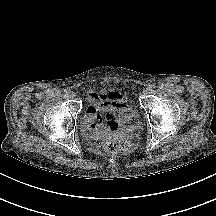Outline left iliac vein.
I'll list each match as a JSON object with an SVG mask.
<instances>
[{
	"label": "left iliac vein",
	"instance_id": "1",
	"mask_svg": "<svg viewBox=\"0 0 216 216\" xmlns=\"http://www.w3.org/2000/svg\"><path fill=\"white\" fill-rule=\"evenodd\" d=\"M149 93H150V90L148 88L144 89L142 92V94L145 96L148 95Z\"/></svg>",
	"mask_w": 216,
	"mask_h": 216
}]
</instances>
